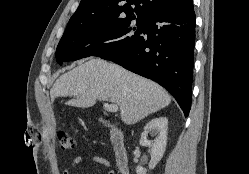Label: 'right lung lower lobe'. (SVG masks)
<instances>
[{
  "label": "right lung lower lobe",
  "instance_id": "obj_1",
  "mask_svg": "<svg viewBox=\"0 0 249 174\" xmlns=\"http://www.w3.org/2000/svg\"><path fill=\"white\" fill-rule=\"evenodd\" d=\"M196 16L193 3L169 8L145 19L143 33L131 46L103 59L149 78L167 89L185 116L191 107Z\"/></svg>",
  "mask_w": 249,
  "mask_h": 174
}]
</instances>
